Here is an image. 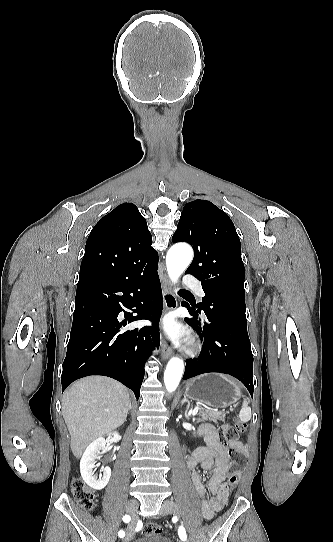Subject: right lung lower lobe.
<instances>
[{"mask_svg": "<svg viewBox=\"0 0 333 542\" xmlns=\"http://www.w3.org/2000/svg\"><path fill=\"white\" fill-rule=\"evenodd\" d=\"M158 255L133 249L114 253L107 249H85L81 268L127 271V278L77 285L72 329L62 371V391L76 379L89 375L112 377L135 393L144 377V365L159 346L157 323L162 313V291L157 273ZM136 307V309H132ZM124 308L137 313L125 312ZM124 311L125 318L118 317ZM153 326L126 330L136 320Z\"/></svg>", "mask_w": 333, "mask_h": 542, "instance_id": "98d812e1", "label": "right lung lower lobe"}]
</instances>
